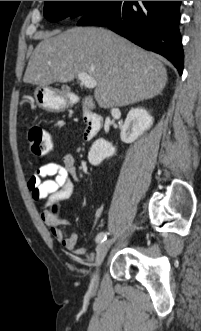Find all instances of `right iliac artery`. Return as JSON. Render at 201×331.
I'll return each mask as SVG.
<instances>
[{
	"mask_svg": "<svg viewBox=\"0 0 201 331\" xmlns=\"http://www.w3.org/2000/svg\"><path fill=\"white\" fill-rule=\"evenodd\" d=\"M107 234L108 233H105V232H101V233H99L97 236H96V242L97 243H102L103 241H105L106 240V238H107Z\"/></svg>",
	"mask_w": 201,
	"mask_h": 331,
	"instance_id": "obj_1",
	"label": "right iliac artery"
}]
</instances>
